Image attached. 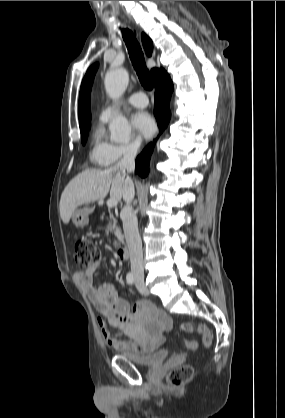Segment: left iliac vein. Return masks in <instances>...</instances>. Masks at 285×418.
<instances>
[{"instance_id": "1", "label": "left iliac vein", "mask_w": 285, "mask_h": 418, "mask_svg": "<svg viewBox=\"0 0 285 418\" xmlns=\"http://www.w3.org/2000/svg\"><path fill=\"white\" fill-rule=\"evenodd\" d=\"M136 287L143 295H148L149 291L142 278L136 279Z\"/></svg>"}]
</instances>
